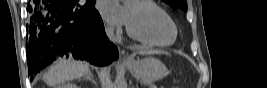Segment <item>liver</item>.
Masks as SVG:
<instances>
[{"instance_id":"liver-1","label":"liver","mask_w":267,"mask_h":88,"mask_svg":"<svg viewBox=\"0 0 267 88\" xmlns=\"http://www.w3.org/2000/svg\"><path fill=\"white\" fill-rule=\"evenodd\" d=\"M160 51L151 50H140V55L148 54H161ZM89 72V66L85 63L73 61V60H62L54 65L44 75V82L48 86H56L61 83L71 81L78 77H81Z\"/></svg>"}]
</instances>
